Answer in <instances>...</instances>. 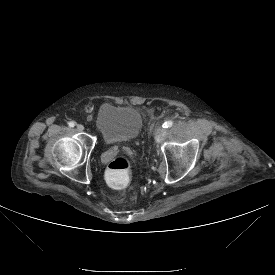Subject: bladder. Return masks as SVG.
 I'll list each match as a JSON object with an SVG mask.
<instances>
[{"mask_svg":"<svg viewBox=\"0 0 275 275\" xmlns=\"http://www.w3.org/2000/svg\"><path fill=\"white\" fill-rule=\"evenodd\" d=\"M143 124V115L134 106L106 103L96 116L97 130L107 143H126L137 139Z\"/></svg>","mask_w":275,"mask_h":275,"instance_id":"bladder-1","label":"bladder"}]
</instances>
